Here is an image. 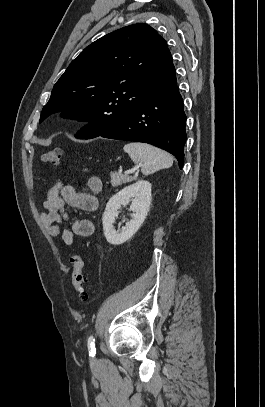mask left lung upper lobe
I'll return each instance as SVG.
<instances>
[{
	"label": "left lung upper lobe",
	"instance_id": "5c2ea615",
	"mask_svg": "<svg viewBox=\"0 0 265 407\" xmlns=\"http://www.w3.org/2000/svg\"><path fill=\"white\" fill-rule=\"evenodd\" d=\"M175 77L167 43L147 24L109 33L87 46L54 85L40 122L64 111L90 121L76 135L95 138L128 117Z\"/></svg>",
	"mask_w": 265,
	"mask_h": 407
}]
</instances>
